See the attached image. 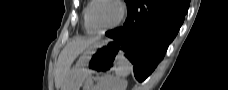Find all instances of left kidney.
<instances>
[{
	"instance_id": "obj_1",
	"label": "left kidney",
	"mask_w": 228,
	"mask_h": 90,
	"mask_svg": "<svg viewBox=\"0 0 228 90\" xmlns=\"http://www.w3.org/2000/svg\"><path fill=\"white\" fill-rule=\"evenodd\" d=\"M127 81L115 78L114 76L107 75L102 77L94 90H126Z\"/></svg>"
}]
</instances>
